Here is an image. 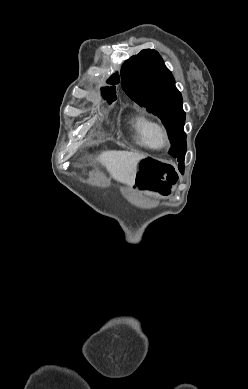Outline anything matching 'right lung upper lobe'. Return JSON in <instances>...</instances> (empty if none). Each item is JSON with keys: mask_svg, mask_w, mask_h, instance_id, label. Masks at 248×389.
I'll list each match as a JSON object with an SVG mask.
<instances>
[{"mask_svg": "<svg viewBox=\"0 0 248 389\" xmlns=\"http://www.w3.org/2000/svg\"><path fill=\"white\" fill-rule=\"evenodd\" d=\"M108 84H117L119 83V75L118 74H113L107 81ZM102 94L105 98H116V91L115 87L112 86L106 87L102 89Z\"/></svg>", "mask_w": 248, "mask_h": 389, "instance_id": "right-lung-upper-lobe-1", "label": "right lung upper lobe"}]
</instances>
